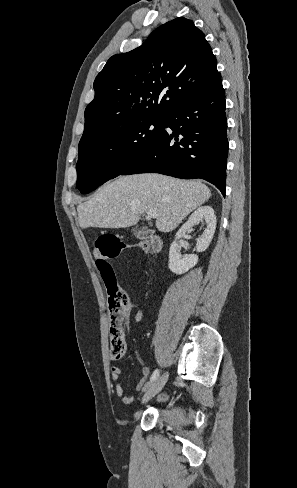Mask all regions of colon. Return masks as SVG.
<instances>
[{
  "label": "colon",
  "instance_id": "obj_1",
  "mask_svg": "<svg viewBox=\"0 0 297 488\" xmlns=\"http://www.w3.org/2000/svg\"><path fill=\"white\" fill-rule=\"evenodd\" d=\"M134 248L151 253L147 242L126 243L110 233L100 235L95 241L96 265L108 294L110 352L115 359L121 358L126 351L123 322L129 314L131 301L127 292L119 287L110 260L118 258L122 251Z\"/></svg>",
  "mask_w": 297,
  "mask_h": 488
}]
</instances>
